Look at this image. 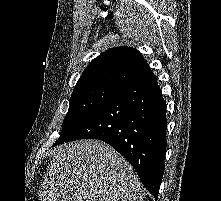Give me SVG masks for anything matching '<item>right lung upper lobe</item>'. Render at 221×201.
I'll return each mask as SVG.
<instances>
[{"instance_id":"obj_1","label":"right lung upper lobe","mask_w":221,"mask_h":201,"mask_svg":"<svg viewBox=\"0 0 221 201\" xmlns=\"http://www.w3.org/2000/svg\"><path fill=\"white\" fill-rule=\"evenodd\" d=\"M149 71L148 64L137 50L115 47L92 60L74 90L100 86L121 89Z\"/></svg>"}]
</instances>
